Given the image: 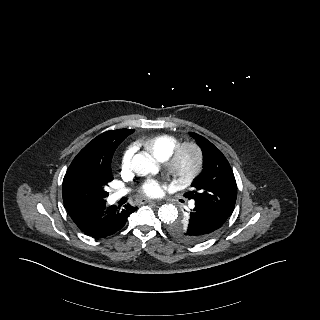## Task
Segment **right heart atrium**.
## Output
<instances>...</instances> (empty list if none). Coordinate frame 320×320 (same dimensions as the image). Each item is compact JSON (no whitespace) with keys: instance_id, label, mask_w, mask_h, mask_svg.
Wrapping results in <instances>:
<instances>
[{"instance_id":"right-heart-atrium-1","label":"right heart atrium","mask_w":320,"mask_h":320,"mask_svg":"<svg viewBox=\"0 0 320 320\" xmlns=\"http://www.w3.org/2000/svg\"><path fill=\"white\" fill-rule=\"evenodd\" d=\"M133 156V149L132 147H127L122 155L121 159V167L123 170H126L130 167L131 159Z\"/></svg>"}]
</instances>
